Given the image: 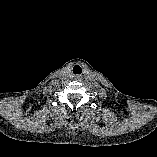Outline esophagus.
<instances>
[{
	"mask_svg": "<svg viewBox=\"0 0 157 157\" xmlns=\"http://www.w3.org/2000/svg\"><path fill=\"white\" fill-rule=\"evenodd\" d=\"M74 79H75V80H81V76H80V75H75V76H74Z\"/></svg>",
	"mask_w": 157,
	"mask_h": 157,
	"instance_id": "obj_1",
	"label": "esophagus"
}]
</instances>
